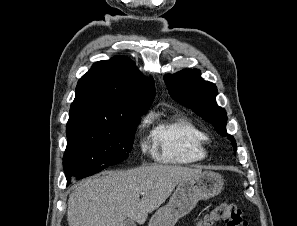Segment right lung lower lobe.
<instances>
[{"label": "right lung lower lobe", "instance_id": "right-lung-lower-lobe-1", "mask_svg": "<svg viewBox=\"0 0 297 226\" xmlns=\"http://www.w3.org/2000/svg\"><path fill=\"white\" fill-rule=\"evenodd\" d=\"M97 172H99V171H91V172H88V173H84V174H82V175H79V176H77L76 178H70V179H67V183L70 184V183H72L75 179H81V178H84V177H86V176L95 174V173H97Z\"/></svg>", "mask_w": 297, "mask_h": 226}]
</instances>
